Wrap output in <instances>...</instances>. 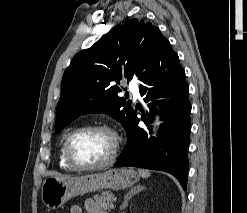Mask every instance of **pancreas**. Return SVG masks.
<instances>
[{"label": "pancreas", "instance_id": "pancreas-1", "mask_svg": "<svg viewBox=\"0 0 247 213\" xmlns=\"http://www.w3.org/2000/svg\"><path fill=\"white\" fill-rule=\"evenodd\" d=\"M113 198H114V194L110 191H105L100 195L97 194L94 196L96 204L104 210H107L108 208H110V204Z\"/></svg>", "mask_w": 247, "mask_h": 213}]
</instances>
